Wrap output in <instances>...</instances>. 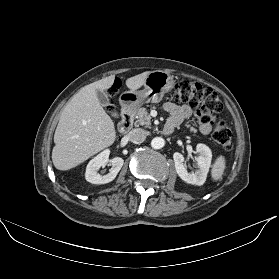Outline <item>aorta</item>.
<instances>
[{"instance_id": "obj_1", "label": "aorta", "mask_w": 279, "mask_h": 279, "mask_svg": "<svg viewBox=\"0 0 279 279\" xmlns=\"http://www.w3.org/2000/svg\"><path fill=\"white\" fill-rule=\"evenodd\" d=\"M165 145V140L161 137H155L151 141V147L154 149H161Z\"/></svg>"}]
</instances>
